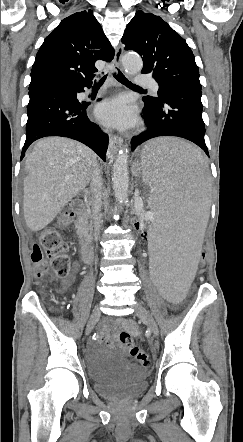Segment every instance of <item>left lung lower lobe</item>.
<instances>
[{"label": "left lung lower lobe", "mask_w": 243, "mask_h": 442, "mask_svg": "<svg viewBox=\"0 0 243 442\" xmlns=\"http://www.w3.org/2000/svg\"><path fill=\"white\" fill-rule=\"evenodd\" d=\"M201 84L174 81L159 89V100L147 103L142 110L147 130L131 140L134 150L141 143L159 136H177L190 140L209 156L204 141Z\"/></svg>", "instance_id": "left-lung-lower-lobe-1"}]
</instances>
